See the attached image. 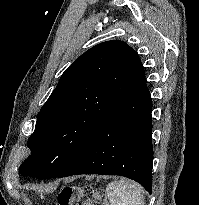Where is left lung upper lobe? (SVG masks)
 Wrapping results in <instances>:
<instances>
[{
    "label": "left lung upper lobe",
    "instance_id": "1",
    "mask_svg": "<svg viewBox=\"0 0 199 205\" xmlns=\"http://www.w3.org/2000/svg\"><path fill=\"white\" fill-rule=\"evenodd\" d=\"M140 66L136 51L121 40L100 43L82 54L38 113L27 142L31 155L21 164L20 174L42 179L61 174L131 89Z\"/></svg>",
    "mask_w": 199,
    "mask_h": 205
}]
</instances>
